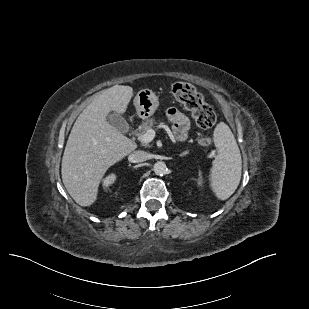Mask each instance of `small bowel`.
<instances>
[{
    "label": "small bowel",
    "mask_w": 309,
    "mask_h": 309,
    "mask_svg": "<svg viewBox=\"0 0 309 309\" xmlns=\"http://www.w3.org/2000/svg\"><path fill=\"white\" fill-rule=\"evenodd\" d=\"M167 117L173 124V135L175 139L179 141L185 140L190 127L189 119L174 107L168 109Z\"/></svg>",
    "instance_id": "c3829d8e"
}]
</instances>
